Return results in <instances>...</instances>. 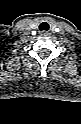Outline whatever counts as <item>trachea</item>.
I'll return each instance as SVG.
<instances>
[{"label": "trachea", "mask_w": 81, "mask_h": 124, "mask_svg": "<svg viewBox=\"0 0 81 124\" xmlns=\"http://www.w3.org/2000/svg\"><path fill=\"white\" fill-rule=\"evenodd\" d=\"M49 25L46 22L40 24V30H48Z\"/></svg>", "instance_id": "obj_1"}]
</instances>
